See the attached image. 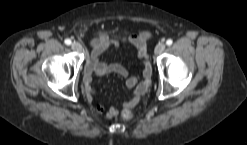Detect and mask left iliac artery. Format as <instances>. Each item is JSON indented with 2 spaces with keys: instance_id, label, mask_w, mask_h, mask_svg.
I'll use <instances>...</instances> for the list:
<instances>
[{
  "instance_id": "44dca946",
  "label": "left iliac artery",
  "mask_w": 247,
  "mask_h": 145,
  "mask_svg": "<svg viewBox=\"0 0 247 145\" xmlns=\"http://www.w3.org/2000/svg\"><path fill=\"white\" fill-rule=\"evenodd\" d=\"M172 43H173V41H172L171 39H168V40L166 41V45H168V46L172 45Z\"/></svg>"
}]
</instances>
